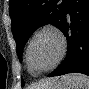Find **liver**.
<instances>
[{"instance_id":"liver-1","label":"liver","mask_w":89,"mask_h":89,"mask_svg":"<svg viewBox=\"0 0 89 89\" xmlns=\"http://www.w3.org/2000/svg\"><path fill=\"white\" fill-rule=\"evenodd\" d=\"M55 82H57L56 78H49L42 81L37 87L38 89H46L48 86L54 84Z\"/></svg>"}]
</instances>
